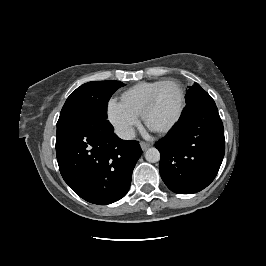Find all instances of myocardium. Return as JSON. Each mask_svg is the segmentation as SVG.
I'll return each mask as SVG.
<instances>
[{
    "label": "myocardium",
    "instance_id": "myocardium-1",
    "mask_svg": "<svg viewBox=\"0 0 266 266\" xmlns=\"http://www.w3.org/2000/svg\"><path fill=\"white\" fill-rule=\"evenodd\" d=\"M168 84H175L178 89H179V93H180V103H179V107L177 109V112L175 114V116L173 117V119L164 127L160 128V129H152L153 131L157 132V133H167L169 132L179 121L183 110L185 108V104H186V93H185V89L183 87V85L181 84V82H179L176 79H168V80H164L151 94V96L149 97L147 103L145 104L143 111H142V120L143 122L149 127L148 123H147V117L149 114V111L151 110V108L153 107L155 100L159 94V92L161 91V89Z\"/></svg>",
    "mask_w": 266,
    "mask_h": 266
}]
</instances>
